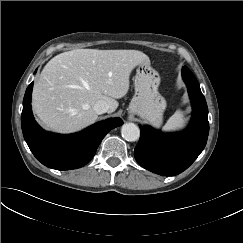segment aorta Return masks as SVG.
Instances as JSON below:
<instances>
[{
    "label": "aorta",
    "mask_w": 243,
    "mask_h": 243,
    "mask_svg": "<svg viewBox=\"0 0 243 243\" xmlns=\"http://www.w3.org/2000/svg\"><path fill=\"white\" fill-rule=\"evenodd\" d=\"M122 137L130 142L137 141L140 137V129L134 123H125L121 128Z\"/></svg>",
    "instance_id": "obj_1"
}]
</instances>
